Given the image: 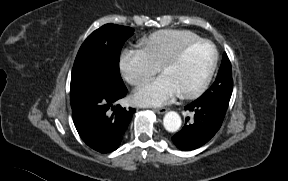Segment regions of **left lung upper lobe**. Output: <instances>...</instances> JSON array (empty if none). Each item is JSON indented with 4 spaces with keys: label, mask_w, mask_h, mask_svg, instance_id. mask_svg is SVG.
<instances>
[{
    "label": "left lung upper lobe",
    "mask_w": 288,
    "mask_h": 181,
    "mask_svg": "<svg viewBox=\"0 0 288 181\" xmlns=\"http://www.w3.org/2000/svg\"><path fill=\"white\" fill-rule=\"evenodd\" d=\"M233 89L232 69L226 53L223 54L218 76L213 85L196 101L213 102L223 108H228Z\"/></svg>",
    "instance_id": "obj_1"
}]
</instances>
